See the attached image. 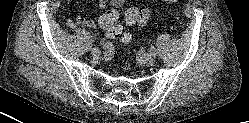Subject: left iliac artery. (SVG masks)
Here are the masks:
<instances>
[{"instance_id":"obj_1","label":"left iliac artery","mask_w":249,"mask_h":123,"mask_svg":"<svg viewBox=\"0 0 249 123\" xmlns=\"http://www.w3.org/2000/svg\"><path fill=\"white\" fill-rule=\"evenodd\" d=\"M150 52H151V54H152L154 57L157 56V51H156V49H155L154 47H151V48H150Z\"/></svg>"}]
</instances>
